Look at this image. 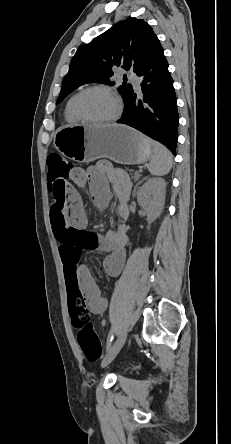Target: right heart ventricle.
<instances>
[{
    "label": "right heart ventricle",
    "mask_w": 231,
    "mask_h": 444,
    "mask_svg": "<svg viewBox=\"0 0 231 444\" xmlns=\"http://www.w3.org/2000/svg\"><path fill=\"white\" fill-rule=\"evenodd\" d=\"M75 96H76V94L72 95L68 99V101L65 105V109H64L65 120L71 124H76L79 122V120L75 117V115L73 114V111H72V104H73Z\"/></svg>",
    "instance_id": "1"
}]
</instances>
